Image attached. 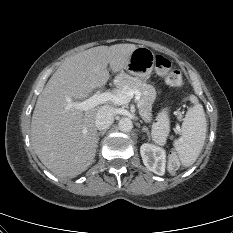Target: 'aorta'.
<instances>
[{
	"label": "aorta",
	"mask_w": 233,
	"mask_h": 233,
	"mask_svg": "<svg viewBox=\"0 0 233 233\" xmlns=\"http://www.w3.org/2000/svg\"><path fill=\"white\" fill-rule=\"evenodd\" d=\"M118 126L122 132H130L133 128L132 121L128 117L121 118L119 120Z\"/></svg>",
	"instance_id": "1"
}]
</instances>
